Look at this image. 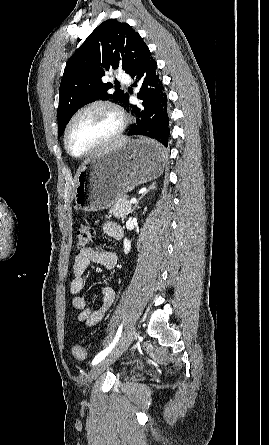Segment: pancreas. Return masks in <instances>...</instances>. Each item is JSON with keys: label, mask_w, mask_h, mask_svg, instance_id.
Instances as JSON below:
<instances>
[{"label": "pancreas", "mask_w": 269, "mask_h": 445, "mask_svg": "<svg viewBox=\"0 0 269 445\" xmlns=\"http://www.w3.org/2000/svg\"><path fill=\"white\" fill-rule=\"evenodd\" d=\"M132 211H133L132 204L128 200V197L122 196L111 207L109 213L113 214L116 218H125Z\"/></svg>", "instance_id": "1"}]
</instances>
